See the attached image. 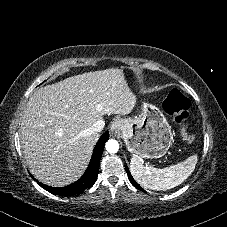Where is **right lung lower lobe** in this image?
<instances>
[{
  "mask_svg": "<svg viewBox=\"0 0 227 227\" xmlns=\"http://www.w3.org/2000/svg\"><path fill=\"white\" fill-rule=\"evenodd\" d=\"M109 139V133L105 132L100 139L98 140L93 154L91 161L88 165L83 176L76 182L66 186V187H51L45 184L38 182V184L44 188L45 190L49 191L55 195H63V196H73L82 193L85 189L91 188L92 185L95 183L98 171H99V164L100 159L102 156V152L104 149L105 142Z\"/></svg>",
  "mask_w": 227,
  "mask_h": 227,
  "instance_id": "obj_1",
  "label": "right lung lower lobe"
}]
</instances>
